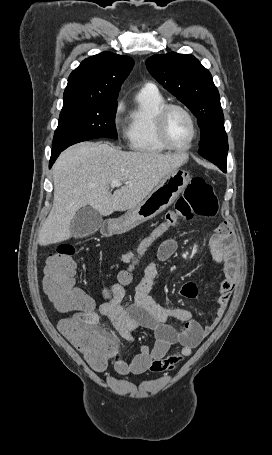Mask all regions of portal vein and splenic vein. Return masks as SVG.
<instances>
[{"label": "portal vein and splenic vein", "mask_w": 272, "mask_h": 455, "mask_svg": "<svg viewBox=\"0 0 272 455\" xmlns=\"http://www.w3.org/2000/svg\"><path fill=\"white\" fill-rule=\"evenodd\" d=\"M121 185H122V182L119 181V180H114V181H112V182L110 183V186H111V187H119V186H121Z\"/></svg>", "instance_id": "obj_1"}]
</instances>
